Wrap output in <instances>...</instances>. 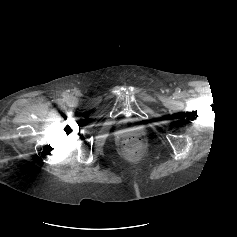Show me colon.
Masks as SVG:
<instances>
[{"label":"colon","instance_id":"5ec220e1","mask_svg":"<svg viewBox=\"0 0 237 237\" xmlns=\"http://www.w3.org/2000/svg\"><path fill=\"white\" fill-rule=\"evenodd\" d=\"M122 149L129 155H140L145 150V144L140 135L129 134L123 139Z\"/></svg>","mask_w":237,"mask_h":237}]
</instances>
